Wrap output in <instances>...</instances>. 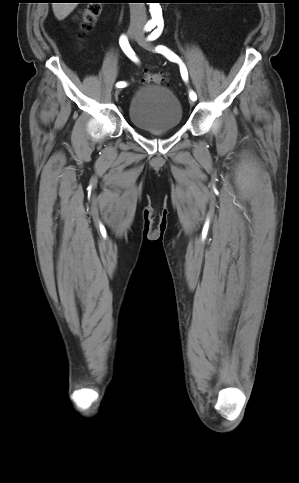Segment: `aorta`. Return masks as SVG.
I'll list each match as a JSON object with an SVG mask.
<instances>
[{"mask_svg":"<svg viewBox=\"0 0 299 483\" xmlns=\"http://www.w3.org/2000/svg\"><path fill=\"white\" fill-rule=\"evenodd\" d=\"M150 13L153 21L162 19V9L160 3H149Z\"/></svg>","mask_w":299,"mask_h":483,"instance_id":"aorta-1","label":"aorta"}]
</instances>
